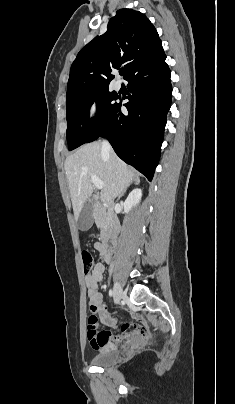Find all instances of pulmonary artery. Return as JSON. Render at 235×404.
I'll use <instances>...</instances> for the list:
<instances>
[{"instance_id": "pulmonary-artery-1", "label": "pulmonary artery", "mask_w": 235, "mask_h": 404, "mask_svg": "<svg viewBox=\"0 0 235 404\" xmlns=\"http://www.w3.org/2000/svg\"><path fill=\"white\" fill-rule=\"evenodd\" d=\"M115 90H120L121 89V83L119 81H116L114 84Z\"/></svg>"}]
</instances>
